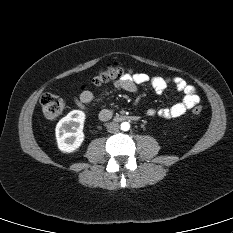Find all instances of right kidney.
<instances>
[{
  "label": "right kidney",
  "instance_id": "ca27d5eb",
  "mask_svg": "<svg viewBox=\"0 0 233 233\" xmlns=\"http://www.w3.org/2000/svg\"><path fill=\"white\" fill-rule=\"evenodd\" d=\"M85 113L81 110L70 111L56 125L58 148L64 153L76 151L84 141Z\"/></svg>",
  "mask_w": 233,
  "mask_h": 233
}]
</instances>
